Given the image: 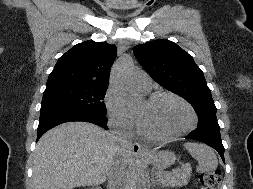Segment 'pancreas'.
I'll return each instance as SVG.
<instances>
[{
    "instance_id": "1",
    "label": "pancreas",
    "mask_w": 253,
    "mask_h": 189,
    "mask_svg": "<svg viewBox=\"0 0 253 189\" xmlns=\"http://www.w3.org/2000/svg\"><path fill=\"white\" fill-rule=\"evenodd\" d=\"M191 169H181L177 172H158L159 181L165 186H185L190 179Z\"/></svg>"
}]
</instances>
